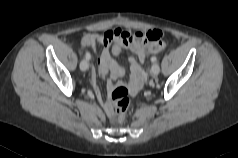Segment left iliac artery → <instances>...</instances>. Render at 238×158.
<instances>
[{
  "mask_svg": "<svg viewBox=\"0 0 238 158\" xmlns=\"http://www.w3.org/2000/svg\"><path fill=\"white\" fill-rule=\"evenodd\" d=\"M151 61H152V62H156V61H157V57H155V56L152 57V58H151Z\"/></svg>",
  "mask_w": 238,
  "mask_h": 158,
  "instance_id": "obj_1",
  "label": "left iliac artery"
}]
</instances>
